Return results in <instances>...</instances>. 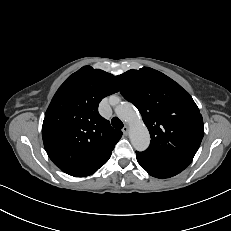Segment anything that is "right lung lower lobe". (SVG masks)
I'll return each instance as SVG.
<instances>
[{
    "label": "right lung lower lobe",
    "mask_w": 231,
    "mask_h": 231,
    "mask_svg": "<svg viewBox=\"0 0 231 231\" xmlns=\"http://www.w3.org/2000/svg\"><path fill=\"white\" fill-rule=\"evenodd\" d=\"M111 155H109L108 157H106L104 160H102L98 165H96L95 167H93L92 169L86 171L85 173L81 174L79 177H83V176H87L90 174L95 173L101 166H103L110 158Z\"/></svg>",
    "instance_id": "98d812e1"
}]
</instances>
